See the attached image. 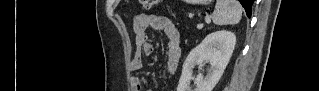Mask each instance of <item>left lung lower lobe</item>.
Returning <instances> with one entry per match:
<instances>
[{
  "label": "left lung lower lobe",
  "instance_id": "1",
  "mask_svg": "<svg viewBox=\"0 0 319 91\" xmlns=\"http://www.w3.org/2000/svg\"><path fill=\"white\" fill-rule=\"evenodd\" d=\"M239 1L243 5L247 16L250 18L252 14V4L254 0H239Z\"/></svg>",
  "mask_w": 319,
  "mask_h": 91
}]
</instances>
